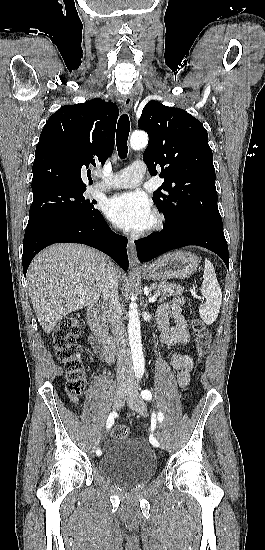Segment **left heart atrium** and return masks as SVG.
Listing matches in <instances>:
<instances>
[{
  "instance_id": "39dd6f15",
  "label": "left heart atrium",
  "mask_w": 265,
  "mask_h": 550,
  "mask_svg": "<svg viewBox=\"0 0 265 550\" xmlns=\"http://www.w3.org/2000/svg\"><path fill=\"white\" fill-rule=\"evenodd\" d=\"M107 216L118 227L139 232L149 225L152 210L149 200L139 192H126L111 198L105 207Z\"/></svg>"
}]
</instances>
